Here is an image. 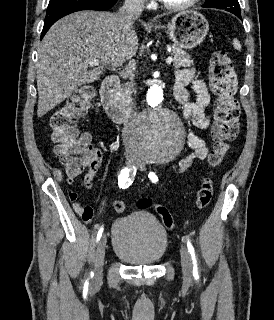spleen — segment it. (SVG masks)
Segmentation results:
<instances>
[{"mask_svg":"<svg viewBox=\"0 0 274 320\" xmlns=\"http://www.w3.org/2000/svg\"><path fill=\"white\" fill-rule=\"evenodd\" d=\"M233 46L235 50H241L240 42H238V40H234Z\"/></svg>","mask_w":274,"mask_h":320,"instance_id":"obj_1","label":"spleen"}]
</instances>
